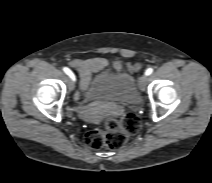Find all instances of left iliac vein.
Masks as SVG:
<instances>
[{
    "instance_id": "4c4485c4",
    "label": "left iliac vein",
    "mask_w": 212,
    "mask_h": 183,
    "mask_svg": "<svg viewBox=\"0 0 212 183\" xmlns=\"http://www.w3.org/2000/svg\"><path fill=\"white\" fill-rule=\"evenodd\" d=\"M146 82H147V76L146 75H142L138 80L139 87L142 91L145 90Z\"/></svg>"
}]
</instances>
